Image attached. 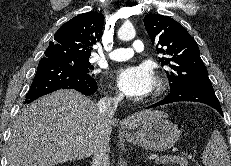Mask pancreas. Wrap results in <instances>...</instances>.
Instances as JSON below:
<instances>
[{
	"label": "pancreas",
	"instance_id": "cf45deb5",
	"mask_svg": "<svg viewBox=\"0 0 231 166\" xmlns=\"http://www.w3.org/2000/svg\"><path fill=\"white\" fill-rule=\"evenodd\" d=\"M169 162L177 163L176 159H171L170 157L162 158V159L158 160V163H161V164H165V163H169Z\"/></svg>",
	"mask_w": 231,
	"mask_h": 166
}]
</instances>
